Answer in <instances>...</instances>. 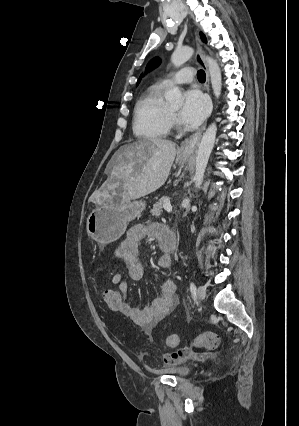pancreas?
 I'll return each mask as SVG.
<instances>
[{
  "label": "pancreas",
  "mask_w": 299,
  "mask_h": 426,
  "mask_svg": "<svg viewBox=\"0 0 299 426\" xmlns=\"http://www.w3.org/2000/svg\"><path fill=\"white\" fill-rule=\"evenodd\" d=\"M169 201L168 197L161 198L157 203L154 204L153 209H151V214L153 216H160L163 212V207L166 202Z\"/></svg>",
  "instance_id": "1"
}]
</instances>
